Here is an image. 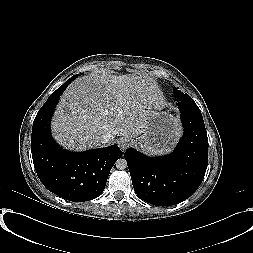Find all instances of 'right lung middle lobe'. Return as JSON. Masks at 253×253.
<instances>
[{
  "label": "right lung middle lobe",
  "mask_w": 253,
  "mask_h": 253,
  "mask_svg": "<svg viewBox=\"0 0 253 253\" xmlns=\"http://www.w3.org/2000/svg\"><path fill=\"white\" fill-rule=\"evenodd\" d=\"M77 76H79V74H77V75H74L73 77H74V78H76Z\"/></svg>",
  "instance_id": "dd1d6c3e"
}]
</instances>
